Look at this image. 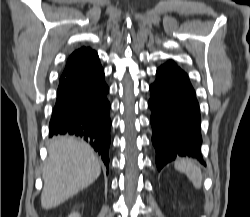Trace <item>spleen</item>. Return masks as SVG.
Here are the masks:
<instances>
[{"label":"spleen","mask_w":250,"mask_h":217,"mask_svg":"<svg viewBox=\"0 0 250 217\" xmlns=\"http://www.w3.org/2000/svg\"><path fill=\"white\" fill-rule=\"evenodd\" d=\"M176 170L183 172L190 179L196 188L202 186V173L198 166L188 158L176 160L174 163Z\"/></svg>","instance_id":"spleen-1"}]
</instances>
